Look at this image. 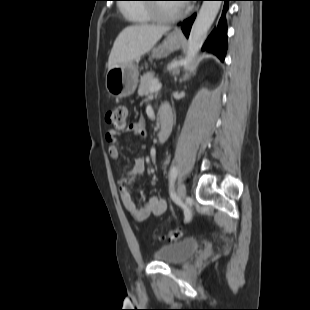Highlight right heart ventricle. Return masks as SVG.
I'll use <instances>...</instances> for the list:
<instances>
[{"label": "right heart ventricle", "mask_w": 310, "mask_h": 310, "mask_svg": "<svg viewBox=\"0 0 310 310\" xmlns=\"http://www.w3.org/2000/svg\"><path fill=\"white\" fill-rule=\"evenodd\" d=\"M124 15L136 24H146L153 20L150 10L146 6H124Z\"/></svg>", "instance_id": "1"}]
</instances>
